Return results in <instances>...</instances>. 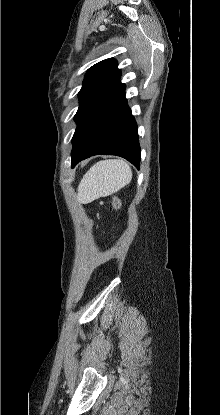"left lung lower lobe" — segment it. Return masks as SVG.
Returning <instances> with one entry per match:
<instances>
[{
	"label": "left lung lower lobe",
	"mask_w": 220,
	"mask_h": 415,
	"mask_svg": "<svg viewBox=\"0 0 220 415\" xmlns=\"http://www.w3.org/2000/svg\"><path fill=\"white\" fill-rule=\"evenodd\" d=\"M71 167L88 157L117 155L140 167L137 124L125 98V84L112 82L94 101L73 137Z\"/></svg>",
	"instance_id": "left-lung-lower-lobe-1"
}]
</instances>
